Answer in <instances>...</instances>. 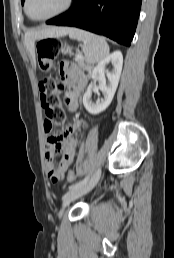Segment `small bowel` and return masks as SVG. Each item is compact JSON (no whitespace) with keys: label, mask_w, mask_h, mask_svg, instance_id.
Segmentation results:
<instances>
[{"label":"small bowel","mask_w":174,"mask_h":258,"mask_svg":"<svg viewBox=\"0 0 174 258\" xmlns=\"http://www.w3.org/2000/svg\"><path fill=\"white\" fill-rule=\"evenodd\" d=\"M60 75L61 77L73 87V95L79 93L86 83V78L74 62H62L60 65ZM71 109L76 108V104H70ZM91 122L90 118H82L81 121L76 119L75 122L69 127L67 133L78 129L79 127H89ZM44 132L46 134L45 141V158L47 161L48 173L50 175L51 183H62L63 175L69 172L65 171L69 165L73 162L77 147V141L74 138H69L65 136V140H61L58 136L51 135V126L45 122ZM64 151L63 163L56 162L54 166V157L58 151ZM75 177V176H74Z\"/></svg>","instance_id":"1"}]
</instances>
